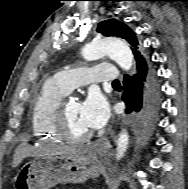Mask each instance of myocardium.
I'll list each match as a JSON object with an SVG mask.
<instances>
[{
    "label": "myocardium",
    "mask_w": 188,
    "mask_h": 189,
    "mask_svg": "<svg viewBox=\"0 0 188 189\" xmlns=\"http://www.w3.org/2000/svg\"><path fill=\"white\" fill-rule=\"evenodd\" d=\"M70 99H62L55 114L54 127L61 139L69 143H82L88 141L92 137V132L89 131L82 135H73L69 132L67 126V105Z\"/></svg>",
    "instance_id": "obj_1"
}]
</instances>
